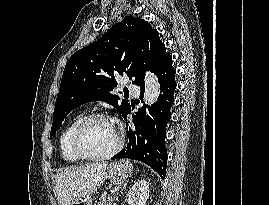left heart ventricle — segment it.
Returning a JSON list of instances; mask_svg holds the SVG:
<instances>
[{
	"label": "left heart ventricle",
	"mask_w": 269,
	"mask_h": 205,
	"mask_svg": "<svg viewBox=\"0 0 269 205\" xmlns=\"http://www.w3.org/2000/svg\"><path fill=\"white\" fill-rule=\"evenodd\" d=\"M116 128L110 121L98 120L90 124L81 138L83 150L92 155L104 154L116 144Z\"/></svg>",
	"instance_id": "1"
}]
</instances>
